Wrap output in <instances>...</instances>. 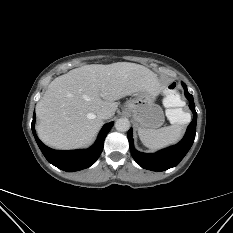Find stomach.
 Instances as JSON below:
<instances>
[{"instance_id": "obj_1", "label": "stomach", "mask_w": 233, "mask_h": 233, "mask_svg": "<svg viewBox=\"0 0 233 233\" xmlns=\"http://www.w3.org/2000/svg\"><path fill=\"white\" fill-rule=\"evenodd\" d=\"M124 111L131 114L135 123L144 129H156L164 123L162 108L155 103V96L147 91H137L125 103Z\"/></svg>"}]
</instances>
